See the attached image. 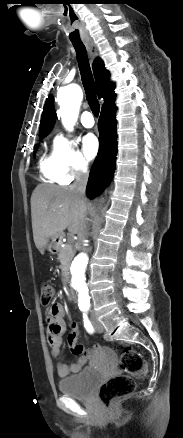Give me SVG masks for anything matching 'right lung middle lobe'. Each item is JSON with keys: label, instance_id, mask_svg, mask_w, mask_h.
<instances>
[{"label": "right lung middle lobe", "instance_id": "right-lung-middle-lobe-1", "mask_svg": "<svg viewBox=\"0 0 183 438\" xmlns=\"http://www.w3.org/2000/svg\"><path fill=\"white\" fill-rule=\"evenodd\" d=\"M45 136L46 135L39 136V139L42 140ZM36 148H37V145L34 147V153H33L34 156H35Z\"/></svg>", "mask_w": 183, "mask_h": 438}]
</instances>
